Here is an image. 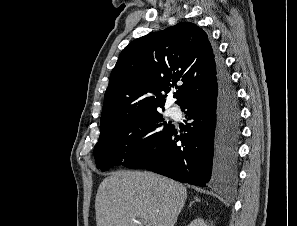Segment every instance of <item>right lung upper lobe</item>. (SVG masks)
<instances>
[{
  "mask_svg": "<svg viewBox=\"0 0 297 226\" xmlns=\"http://www.w3.org/2000/svg\"><path fill=\"white\" fill-rule=\"evenodd\" d=\"M217 57L207 34L181 22L132 41L120 54L104 96L101 128L164 108L178 80L176 103L204 92L216 82Z\"/></svg>",
  "mask_w": 297,
  "mask_h": 226,
  "instance_id": "cb5924a9",
  "label": "right lung upper lobe"
}]
</instances>
